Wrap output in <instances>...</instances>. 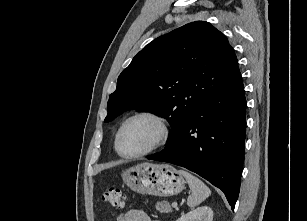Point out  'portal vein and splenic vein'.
Here are the masks:
<instances>
[{"mask_svg":"<svg viewBox=\"0 0 307 221\" xmlns=\"http://www.w3.org/2000/svg\"><path fill=\"white\" fill-rule=\"evenodd\" d=\"M172 207H173V208H177V203H176V202H173V203H172Z\"/></svg>","mask_w":307,"mask_h":221,"instance_id":"obj_1","label":"portal vein and splenic vein"}]
</instances>
